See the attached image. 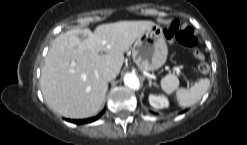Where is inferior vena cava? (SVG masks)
Masks as SVG:
<instances>
[{
    "mask_svg": "<svg viewBox=\"0 0 247 145\" xmlns=\"http://www.w3.org/2000/svg\"><path fill=\"white\" fill-rule=\"evenodd\" d=\"M102 75H103V78H104L107 82H109V81L115 79L117 74H116V72L113 71L112 69L106 68V69L103 70Z\"/></svg>",
    "mask_w": 247,
    "mask_h": 145,
    "instance_id": "1",
    "label": "inferior vena cava"
}]
</instances>
